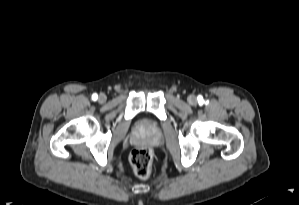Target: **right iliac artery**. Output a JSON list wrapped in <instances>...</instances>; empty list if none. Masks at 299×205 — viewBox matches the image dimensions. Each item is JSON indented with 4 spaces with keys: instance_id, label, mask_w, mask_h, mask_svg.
I'll list each match as a JSON object with an SVG mask.
<instances>
[{
    "instance_id": "1",
    "label": "right iliac artery",
    "mask_w": 299,
    "mask_h": 205,
    "mask_svg": "<svg viewBox=\"0 0 299 205\" xmlns=\"http://www.w3.org/2000/svg\"><path fill=\"white\" fill-rule=\"evenodd\" d=\"M92 99L95 101V100H97L98 99V95L96 94V93H94L93 95H92Z\"/></svg>"
}]
</instances>
